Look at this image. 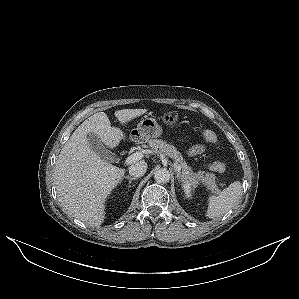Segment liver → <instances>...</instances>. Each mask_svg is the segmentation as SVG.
Returning a JSON list of instances; mask_svg holds the SVG:
<instances>
[{"mask_svg":"<svg viewBox=\"0 0 299 299\" xmlns=\"http://www.w3.org/2000/svg\"><path fill=\"white\" fill-rule=\"evenodd\" d=\"M146 112V109H123L114 115L124 125ZM90 132L109 148L125 139L120 129L111 127L106 113H95L78 126L61 149L53 177L62 210L98 227L105 219L106 198L122 180L125 170L106 162L90 148L87 139Z\"/></svg>","mask_w":299,"mask_h":299,"instance_id":"1","label":"liver"}]
</instances>
